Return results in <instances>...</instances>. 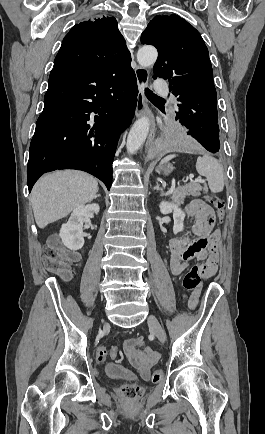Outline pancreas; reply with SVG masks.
<instances>
[{
  "instance_id": "pancreas-1",
  "label": "pancreas",
  "mask_w": 265,
  "mask_h": 434,
  "mask_svg": "<svg viewBox=\"0 0 265 434\" xmlns=\"http://www.w3.org/2000/svg\"><path fill=\"white\" fill-rule=\"evenodd\" d=\"M200 190H202V186L200 184H186V186H180V188H176L171 196V200L176 202V204H183L186 196H200Z\"/></svg>"
}]
</instances>
